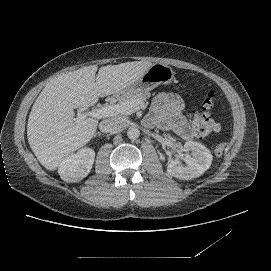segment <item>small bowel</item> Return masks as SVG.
Instances as JSON below:
<instances>
[{"label": "small bowel", "mask_w": 271, "mask_h": 271, "mask_svg": "<svg viewBox=\"0 0 271 271\" xmlns=\"http://www.w3.org/2000/svg\"><path fill=\"white\" fill-rule=\"evenodd\" d=\"M154 108L160 115L162 123L184 139L193 136L192 130L184 117L185 104L173 93H161L154 101Z\"/></svg>", "instance_id": "small-bowel-1"}]
</instances>
